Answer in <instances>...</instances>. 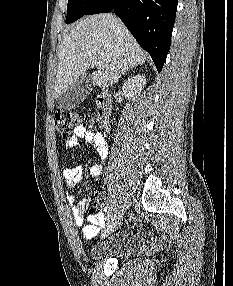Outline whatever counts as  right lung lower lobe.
<instances>
[{
    "label": "right lung lower lobe",
    "mask_w": 233,
    "mask_h": 286,
    "mask_svg": "<svg viewBox=\"0 0 233 286\" xmlns=\"http://www.w3.org/2000/svg\"><path fill=\"white\" fill-rule=\"evenodd\" d=\"M178 0H100L87 15L114 11L161 72L171 44Z\"/></svg>",
    "instance_id": "right-lung-lower-lobe-1"
}]
</instances>
